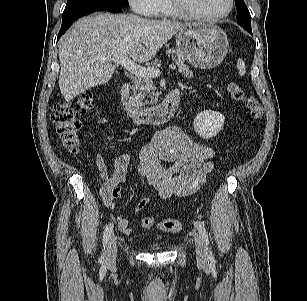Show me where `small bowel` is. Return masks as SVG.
I'll return each instance as SVG.
<instances>
[{"label":"small bowel","instance_id":"1","mask_svg":"<svg viewBox=\"0 0 307 301\" xmlns=\"http://www.w3.org/2000/svg\"><path fill=\"white\" fill-rule=\"evenodd\" d=\"M214 155L211 147L172 125L156 133L152 142L141 148L137 170L161 199L186 196L195 193L214 169ZM163 161H169L171 165L167 166ZM129 163L128 153L119 154L110 174L103 158L99 155L95 158L99 177L103 180L100 190L102 201L109 209L114 208L115 201L121 196L120 185L126 179ZM150 201L149 196L142 197L135 211H141ZM113 218L121 232H132L127 219L117 214H113Z\"/></svg>","mask_w":307,"mask_h":301}]
</instances>
